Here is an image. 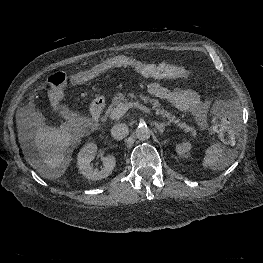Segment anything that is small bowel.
I'll use <instances>...</instances> for the list:
<instances>
[{
	"instance_id": "1",
	"label": "small bowel",
	"mask_w": 263,
	"mask_h": 263,
	"mask_svg": "<svg viewBox=\"0 0 263 263\" xmlns=\"http://www.w3.org/2000/svg\"><path fill=\"white\" fill-rule=\"evenodd\" d=\"M147 90L151 95L170 103L177 110L191 113L200 126L205 127L207 125L210 104L202 99L194 89L179 84L174 89H169L159 83L152 82L147 86ZM62 97L56 103L51 96L52 103L58 105Z\"/></svg>"
}]
</instances>
